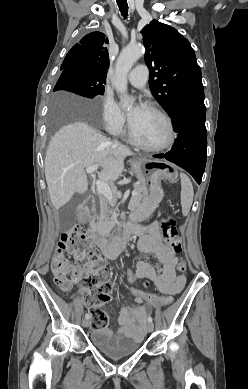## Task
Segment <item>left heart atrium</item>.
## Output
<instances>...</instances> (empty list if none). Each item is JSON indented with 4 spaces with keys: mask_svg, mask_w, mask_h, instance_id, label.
<instances>
[{
    "mask_svg": "<svg viewBox=\"0 0 248 389\" xmlns=\"http://www.w3.org/2000/svg\"><path fill=\"white\" fill-rule=\"evenodd\" d=\"M144 107L142 105H137L132 111L131 113L129 114V120H130V123L131 121L141 112V110L143 109Z\"/></svg>",
    "mask_w": 248,
    "mask_h": 389,
    "instance_id": "obj_1",
    "label": "left heart atrium"
}]
</instances>
